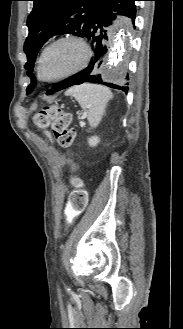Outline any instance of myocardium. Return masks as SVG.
Masks as SVG:
<instances>
[{
    "label": "myocardium",
    "instance_id": "myocardium-1",
    "mask_svg": "<svg viewBox=\"0 0 183 329\" xmlns=\"http://www.w3.org/2000/svg\"><path fill=\"white\" fill-rule=\"evenodd\" d=\"M66 40H74L76 42H78L84 49V52H85V56H84V59L82 61V63L76 67L75 69L63 74V75H60L58 77H55V78H47L44 76L43 74V63H44V58L47 54V52L55 45H57L58 43H61L63 41H66ZM91 57H92V50L89 46V44L86 42V40L78 35H73V34H67V35H64V36H61L57 39H55L54 41H52L51 43H49L42 51L40 57H39V64H38V74H39V77L40 79H42L43 81L45 82H57V81H61V80H64V79H67L77 73H79L80 71H82L83 69H85L87 67V65L89 64L90 60H91Z\"/></svg>",
    "mask_w": 183,
    "mask_h": 329
}]
</instances>
